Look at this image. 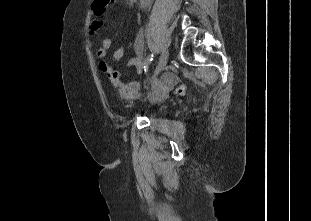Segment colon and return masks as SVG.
<instances>
[{
  "label": "colon",
  "mask_w": 311,
  "mask_h": 221,
  "mask_svg": "<svg viewBox=\"0 0 311 221\" xmlns=\"http://www.w3.org/2000/svg\"><path fill=\"white\" fill-rule=\"evenodd\" d=\"M112 0H95L92 1L91 3V10H92V16L95 17V23L97 25H92L91 26V31L92 32H98L99 31V26L103 24V22H100L98 17H107L108 15V4H111ZM99 25V26H98Z\"/></svg>",
  "instance_id": "obj_1"
}]
</instances>
